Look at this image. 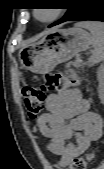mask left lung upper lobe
<instances>
[{"mask_svg":"<svg viewBox=\"0 0 104 169\" xmlns=\"http://www.w3.org/2000/svg\"><path fill=\"white\" fill-rule=\"evenodd\" d=\"M71 2V8H68V11H67V13L65 14V16L62 18V19H60L59 21H57V22H55L54 24H52V25H55V24H58V23H60L62 20H64L65 18H67L68 16H70L75 10H76V8H77V5H78V0H72V1H70Z\"/></svg>","mask_w":104,"mask_h":169,"instance_id":"obj_1","label":"left lung upper lobe"}]
</instances>
